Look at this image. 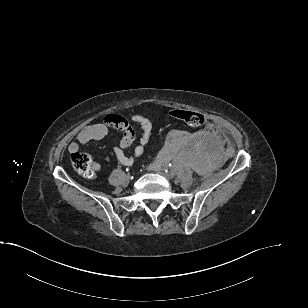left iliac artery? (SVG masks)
<instances>
[{"instance_id": "44dca946", "label": "left iliac artery", "mask_w": 308, "mask_h": 308, "mask_svg": "<svg viewBox=\"0 0 308 308\" xmlns=\"http://www.w3.org/2000/svg\"><path fill=\"white\" fill-rule=\"evenodd\" d=\"M173 167L174 165L170 163L168 166L165 167V171L168 172V169H172Z\"/></svg>"}]
</instances>
